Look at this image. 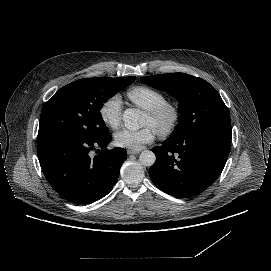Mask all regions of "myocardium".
Here are the masks:
<instances>
[{"instance_id": "obj_1", "label": "myocardium", "mask_w": 271, "mask_h": 271, "mask_svg": "<svg viewBox=\"0 0 271 271\" xmlns=\"http://www.w3.org/2000/svg\"><path fill=\"white\" fill-rule=\"evenodd\" d=\"M153 122L154 130L160 135L171 133L176 127L180 112L178 107L170 102H164L146 111Z\"/></svg>"}]
</instances>
